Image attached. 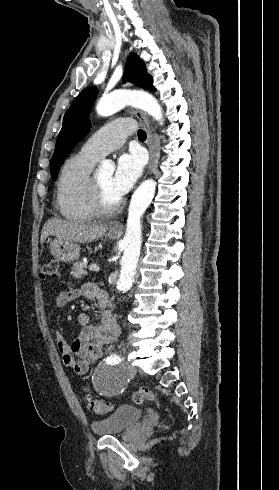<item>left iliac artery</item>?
Listing matches in <instances>:
<instances>
[{
	"label": "left iliac artery",
	"instance_id": "obj_1",
	"mask_svg": "<svg viewBox=\"0 0 279 490\" xmlns=\"http://www.w3.org/2000/svg\"><path fill=\"white\" fill-rule=\"evenodd\" d=\"M107 362L108 363H111V364L112 363L113 364H116V363L121 362V358L118 355L113 354V355H111L110 357L107 358Z\"/></svg>",
	"mask_w": 279,
	"mask_h": 490
}]
</instances>
